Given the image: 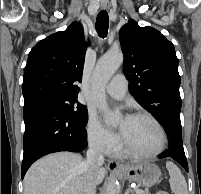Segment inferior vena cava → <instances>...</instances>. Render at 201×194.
<instances>
[{
  "instance_id": "obj_1",
  "label": "inferior vena cava",
  "mask_w": 201,
  "mask_h": 194,
  "mask_svg": "<svg viewBox=\"0 0 201 194\" xmlns=\"http://www.w3.org/2000/svg\"><path fill=\"white\" fill-rule=\"evenodd\" d=\"M86 157V160L83 162L84 174L78 188V194H96L95 175L104 163L101 147L96 143H91Z\"/></svg>"
}]
</instances>
